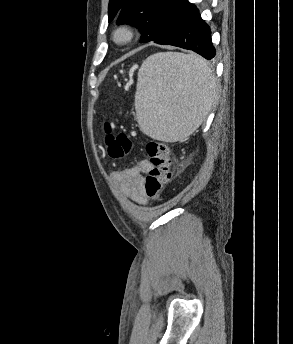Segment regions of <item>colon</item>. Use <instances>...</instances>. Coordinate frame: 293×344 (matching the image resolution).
I'll use <instances>...</instances> for the list:
<instances>
[{
  "mask_svg": "<svg viewBox=\"0 0 293 344\" xmlns=\"http://www.w3.org/2000/svg\"><path fill=\"white\" fill-rule=\"evenodd\" d=\"M105 131L109 156L114 160L127 156L132 147L128 136L125 133L113 134L108 123L105 124ZM146 153L152 169L144 179V192L149 199L155 200L171 179L170 149L166 143L152 140L146 144Z\"/></svg>",
  "mask_w": 293,
  "mask_h": 344,
  "instance_id": "colon-1",
  "label": "colon"
}]
</instances>
